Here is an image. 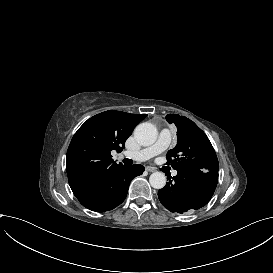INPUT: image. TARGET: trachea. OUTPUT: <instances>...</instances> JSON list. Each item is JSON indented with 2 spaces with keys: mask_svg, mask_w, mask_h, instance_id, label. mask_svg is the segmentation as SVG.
I'll return each instance as SVG.
<instances>
[{
  "mask_svg": "<svg viewBox=\"0 0 273 273\" xmlns=\"http://www.w3.org/2000/svg\"><path fill=\"white\" fill-rule=\"evenodd\" d=\"M123 163H124L125 165H131V164H132V161H131L130 159H128V158H125V159H123Z\"/></svg>",
  "mask_w": 273,
  "mask_h": 273,
  "instance_id": "1",
  "label": "trachea"
}]
</instances>
